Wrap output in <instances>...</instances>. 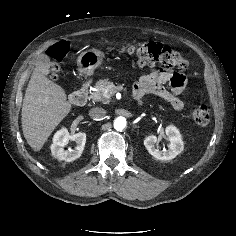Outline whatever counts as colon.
<instances>
[{"instance_id":"colon-1","label":"colon","mask_w":236,"mask_h":236,"mask_svg":"<svg viewBox=\"0 0 236 236\" xmlns=\"http://www.w3.org/2000/svg\"><path fill=\"white\" fill-rule=\"evenodd\" d=\"M69 46L65 42H60L48 50V54L53 60V72L56 76L57 63L60 62L68 52ZM124 55L134 56L140 66H153L163 64L174 67L179 71H186L189 68V61L178 51L168 45L161 43H143L139 45H123L119 49ZM192 118L199 126H206L210 122L209 109L204 105L193 108Z\"/></svg>"}]
</instances>
